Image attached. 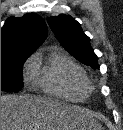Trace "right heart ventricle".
Segmentation results:
<instances>
[{"label":"right heart ventricle","instance_id":"obj_1","mask_svg":"<svg viewBox=\"0 0 123 130\" xmlns=\"http://www.w3.org/2000/svg\"><path fill=\"white\" fill-rule=\"evenodd\" d=\"M30 78L43 93L67 101H84L91 89L85 70L58 48L35 54L29 65Z\"/></svg>","mask_w":123,"mask_h":130}]
</instances>
